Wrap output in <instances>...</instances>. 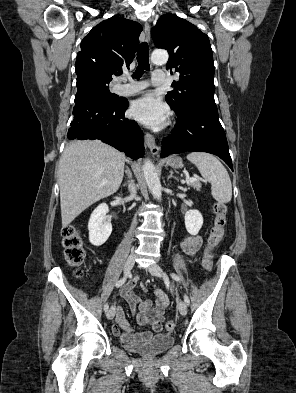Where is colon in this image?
Here are the masks:
<instances>
[{
	"instance_id": "5ec220e1",
	"label": "colon",
	"mask_w": 296,
	"mask_h": 393,
	"mask_svg": "<svg viewBox=\"0 0 296 393\" xmlns=\"http://www.w3.org/2000/svg\"><path fill=\"white\" fill-rule=\"evenodd\" d=\"M213 211L215 219L202 258V266L207 271L212 269L213 251L225 235V226L227 222V206L224 203H214ZM62 238L64 256L67 263L73 267L81 266L85 260L86 253L82 236L77 227L74 225L64 227L62 230ZM81 274L82 271L77 270V275L80 276ZM166 328L170 331L174 330L175 323L173 321H168L166 323Z\"/></svg>"
}]
</instances>
